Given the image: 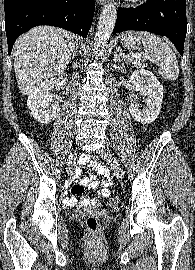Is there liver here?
Here are the masks:
<instances>
[{
  "instance_id": "6515ba94",
  "label": "liver",
  "mask_w": 195,
  "mask_h": 270,
  "mask_svg": "<svg viewBox=\"0 0 195 270\" xmlns=\"http://www.w3.org/2000/svg\"><path fill=\"white\" fill-rule=\"evenodd\" d=\"M74 35L52 26H38L21 35L13 47L14 71L23 95L58 76L75 49Z\"/></svg>"
}]
</instances>
